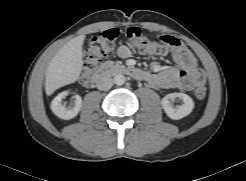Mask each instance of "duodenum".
<instances>
[{
	"label": "duodenum",
	"mask_w": 246,
	"mask_h": 181,
	"mask_svg": "<svg viewBox=\"0 0 246 181\" xmlns=\"http://www.w3.org/2000/svg\"><path fill=\"white\" fill-rule=\"evenodd\" d=\"M108 74H124L134 79H142L144 77V72L141 70L129 66L107 62L93 73L91 77V83H102Z\"/></svg>",
	"instance_id": "1"
}]
</instances>
